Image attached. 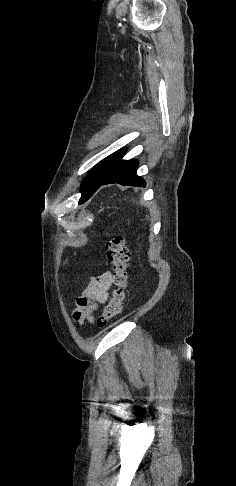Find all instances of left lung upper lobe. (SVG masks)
Segmentation results:
<instances>
[{
    "label": "left lung upper lobe",
    "instance_id": "5c2ea615",
    "mask_svg": "<svg viewBox=\"0 0 236 486\" xmlns=\"http://www.w3.org/2000/svg\"><path fill=\"white\" fill-rule=\"evenodd\" d=\"M126 149L119 150L101 161L86 177L82 186V196L79 204L87 201L99 188V184L107 177L110 171L122 158Z\"/></svg>",
    "mask_w": 236,
    "mask_h": 486
}]
</instances>
